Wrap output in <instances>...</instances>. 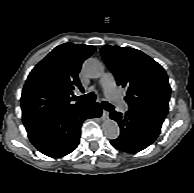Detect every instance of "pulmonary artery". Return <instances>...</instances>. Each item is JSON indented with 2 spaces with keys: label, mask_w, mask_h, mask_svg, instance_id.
<instances>
[{
  "label": "pulmonary artery",
  "mask_w": 194,
  "mask_h": 193,
  "mask_svg": "<svg viewBox=\"0 0 194 193\" xmlns=\"http://www.w3.org/2000/svg\"><path fill=\"white\" fill-rule=\"evenodd\" d=\"M101 86L104 88L106 97L122 112L127 111V105L122 100L119 91L116 89L115 81L110 73H105L101 80Z\"/></svg>",
  "instance_id": "e3ab8cb5"
}]
</instances>
